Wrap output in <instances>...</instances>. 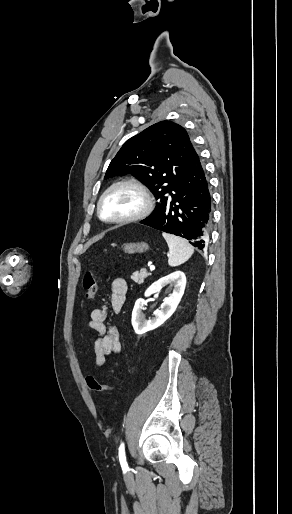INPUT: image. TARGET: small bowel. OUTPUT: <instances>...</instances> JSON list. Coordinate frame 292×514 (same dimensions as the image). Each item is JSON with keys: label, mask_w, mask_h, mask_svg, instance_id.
Here are the masks:
<instances>
[{"label": "small bowel", "mask_w": 292, "mask_h": 514, "mask_svg": "<svg viewBox=\"0 0 292 514\" xmlns=\"http://www.w3.org/2000/svg\"><path fill=\"white\" fill-rule=\"evenodd\" d=\"M128 285L125 279L116 278L110 286V308L113 312L119 313L125 302ZM109 309L102 306L91 311L88 326L97 333V337H88L89 344L95 357V364L98 367L104 365L106 358L112 354H118L122 350L120 332L118 325L106 324Z\"/></svg>", "instance_id": "small-bowel-1"}]
</instances>
